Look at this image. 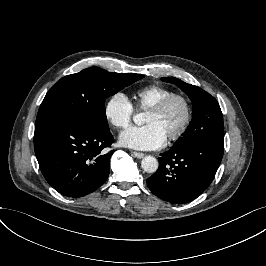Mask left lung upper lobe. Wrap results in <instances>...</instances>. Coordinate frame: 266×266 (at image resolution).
<instances>
[{"instance_id": "obj_1", "label": "left lung upper lobe", "mask_w": 266, "mask_h": 266, "mask_svg": "<svg viewBox=\"0 0 266 266\" xmlns=\"http://www.w3.org/2000/svg\"><path fill=\"white\" fill-rule=\"evenodd\" d=\"M161 79L176 84L192 101L191 125L174 148H182L201 139L224 141L223 116L214 97L200 87L187 84L175 77Z\"/></svg>"}]
</instances>
